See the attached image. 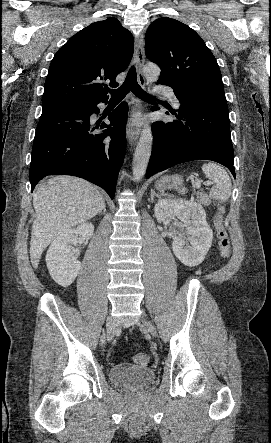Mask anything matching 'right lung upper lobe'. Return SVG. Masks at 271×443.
Returning <instances> with one entry per match:
<instances>
[{
  "label": "right lung upper lobe",
  "instance_id": "1",
  "mask_svg": "<svg viewBox=\"0 0 271 443\" xmlns=\"http://www.w3.org/2000/svg\"><path fill=\"white\" fill-rule=\"evenodd\" d=\"M132 34L116 18L90 24L55 54L45 81L43 104L107 100L105 84L117 87L116 76L133 55Z\"/></svg>",
  "mask_w": 271,
  "mask_h": 443
}]
</instances>
